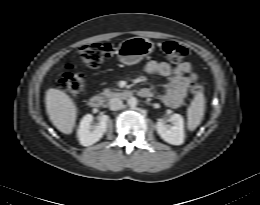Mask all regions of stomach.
I'll use <instances>...</instances> for the list:
<instances>
[{"label": "stomach", "mask_w": 260, "mask_h": 205, "mask_svg": "<svg viewBox=\"0 0 260 205\" xmlns=\"http://www.w3.org/2000/svg\"><path fill=\"white\" fill-rule=\"evenodd\" d=\"M154 43L147 38L132 37L122 41L117 48L120 62L133 65L154 51Z\"/></svg>", "instance_id": "0dacf381"}]
</instances>
